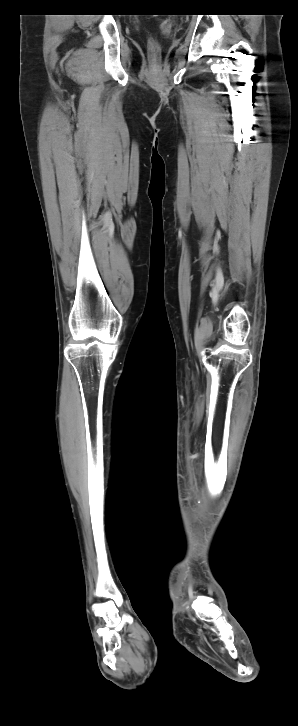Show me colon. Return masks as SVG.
I'll list each match as a JSON object with an SVG mask.
<instances>
[{"label": "colon", "instance_id": "5ec220e1", "mask_svg": "<svg viewBox=\"0 0 298 726\" xmlns=\"http://www.w3.org/2000/svg\"><path fill=\"white\" fill-rule=\"evenodd\" d=\"M149 49L154 54L158 52L159 45H158V43H157V41L155 39H150L149 40Z\"/></svg>", "mask_w": 298, "mask_h": 726}]
</instances>
